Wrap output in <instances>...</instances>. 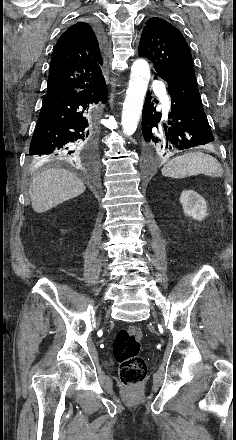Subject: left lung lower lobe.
Segmentation results:
<instances>
[{"label": "left lung lower lobe", "instance_id": "obj_1", "mask_svg": "<svg viewBox=\"0 0 236 440\" xmlns=\"http://www.w3.org/2000/svg\"><path fill=\"white\" fill-rule=\"evenodd\" d=\"M171 97V112L163 123L156 112V99L150 91L142 113V133L145 150L149 156L174 154L189 148L205 145L214 137L204 113L195 77L179 76L166 81Z\"/></svg>", "mask_w": 236, "mask_h": 440}]
</instances>
